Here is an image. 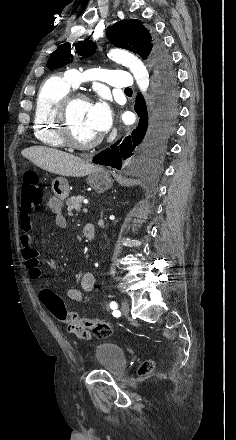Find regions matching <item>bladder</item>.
<instances>
[{
	"mask_svg": "<svg viewBox=\"0 0 236 440\" xmlns=\"http://www.w3.org/2000/svg\"><path fill=\"white\" fill-rule=\"evenodd\" d=\"M95 363L100 370L118 374L125 368L126 356L120 346L114 343H102L95 348Z\"/></svg>",
	"mask_w": 236,
	"mask_h": 440,
	"instance_id": "31cf9c89",
	"label": "bladder"
}]
</instances>
